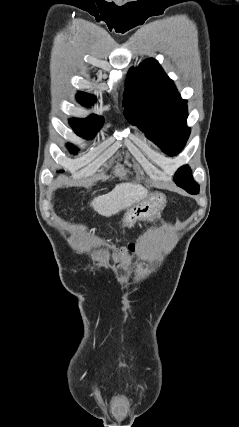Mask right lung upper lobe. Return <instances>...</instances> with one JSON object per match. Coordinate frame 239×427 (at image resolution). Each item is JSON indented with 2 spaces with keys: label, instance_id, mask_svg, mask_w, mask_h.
<instances>
[{
  "label": "right lung upper lobe",
  "instance_id": "1",
  "mask_svg": "<svg viewBox=\"0 0 239 427\" xmlns=\"http://www.w3.org/2000/svg\"><path fill=\"white\" fill-rule=\"evenodd\" d=\"M77 100L82 105L90 107V105H93V103L95 102V97L83 92H79L77 94ZM92 116H97V115H92Z\"/></svg>",
  "mask_w": 239,
  "mask_h": 427
}]
</instances>
